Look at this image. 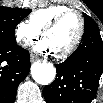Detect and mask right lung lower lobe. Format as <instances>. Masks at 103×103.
I'll return each instance as SVG.
<instances>
[{"mask_svg":"<svg viewBox=\"0 0 103 103\" xmlns=\"http://www.w3.org/2000/svg\"><path fill=\"white\" fill-rule=\"evenodd\" d=\"M30 56L16 42L0 41V103L15 101L18 85L28 75Z\"/></svg>","mask_w":103,"mask_h":103,"instance_id":"98d812e1","label":"right lung lower lobe"}]
</instances>
